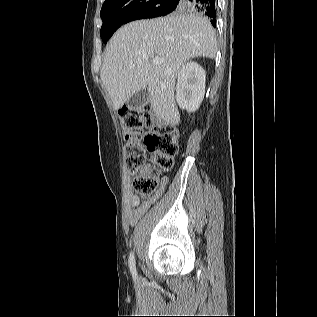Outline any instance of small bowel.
Instances as JSON below:
<instances>
[{
  "mask_svg": "<svg viewBox=\"0 0 317 317\" xmlns=\"http://www.w3.org/2000/svg\"><path fill=\"white\" fill-rule=\"evenodd\" d=\"M151 170L146 168L143 173L150 174ZM167 178H163L161 180V188L158 192L157 196H160L163 192L165 186L167 185ZM155 198H149L143 202H141L140 198L132 192L127 193V203H126V221L129 225H134L151 207L154 203Z\"/></svg>",
  "mask_w": 317,
  "mask_h": 317,
  "instance_id": "c3829d8e",
  "label": "small bowel"
}]
</instances>
